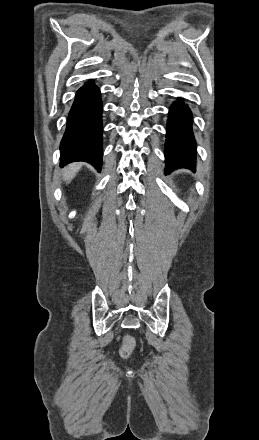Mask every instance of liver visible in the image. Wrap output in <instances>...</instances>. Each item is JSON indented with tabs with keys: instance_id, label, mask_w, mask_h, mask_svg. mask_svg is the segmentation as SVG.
I'll return each instance as SVG.
<instances>
[{
	"instance_id": "6515ba94",
	"label": "liver",
	"mask_w": 259,
	"mask_h": 440,
	"mask_svg": "<svg viewBox=\"0 0 259 440\" xmlns=\"http://www.w3.org/2000/svg\"><path fill=\"white\" fill-rule=\"evenodd\" d=\"M82 163H72L68 165L63 171V179L66 183H69L81 169Z\"/></svg>"
}]
</instances>
